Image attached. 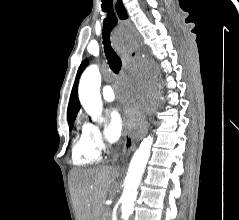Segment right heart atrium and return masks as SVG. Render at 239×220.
Wrapping results in <instances>:
<instances>
[{
  "label": "right heart atrium",
  "instance_id": "right-heart-atrium-1",
  "mask_svg": "<svg viewBox=\"0 0 239 220\" xmlns=\"http://www.w3.org/2000/svg\"><path fill=\"white\" fill-rule=\"evenodd\" d=\"M82 132L91 146L99 153V155L108 150L109 145L105 141L99 123L91 121L84 122V124L82 125Z\"/></svg>",
  "mask_w": 239,
  "mask_h": 220
}]
</instances>
